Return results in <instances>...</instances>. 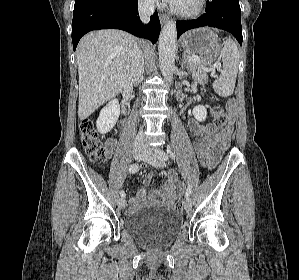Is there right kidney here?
Listing matches in <instances>:
<instances>
[{
	"mask_svg": "<svg viewBox=\"0 0 299 280\" xmlns=\"http://www.w3.org/2000/svg\"><path fill=\"white\" fill-rule=\"evenodd\" d=\"M120 114V106L117 99L111 100L100 112L96 122L98 132L105 134L115 126Z\"/></svg>",
	"mask_w": 299,
	"mask_h": 280,
	"instance_id": "ca27d5eb",
	"label": "right kidney"
}]
</instances>
